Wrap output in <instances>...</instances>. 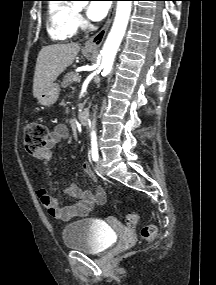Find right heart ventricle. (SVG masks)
I'll return each mask as SVG.
<instances>
[{"label":"right heart ventricle","instance_id":"1","mask_svg":"<svg viewBox=\"0 0 216 285\" xmlns=\"http://www.w3.org/2000/svg\"><path fill=\"white\" fill-rule=\"evenodd\" d=\"M47 31L53 41L70 40L77 32L76 10L68 2L51 1L47 7Z\"/></svg>","mask_w":216,"mask_h":285}]
</instances>
